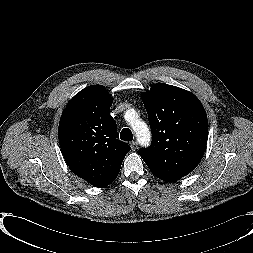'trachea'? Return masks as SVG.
Wrapping results in <instances>:
<instances>
[{"instance_id": "1", "label": "trachea", "mask_w": 253, "mask_h": 253, "mask_svg": "<svg viewBox=\"0 0 253 253\" xmlns=\"http://www.w3.org/2000/svg\"><path fill=\"white\" fill-rule=\"evenodd\" d=\"M120 139L126 142L133 140V134L130 129L124 128L120 133Z\"/></svg>"}]
</instances>
